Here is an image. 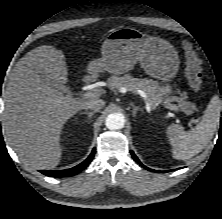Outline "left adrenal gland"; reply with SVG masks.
Segmentation results:
<instances>
[{
    "instance_id": "a2214340",
    "label": "left adrenal gland",
    "mask_w": 222,
    "mask_h": 219,
    "mask_svg": "<svg viewBox=\"0 0 222 219\" xmlns=\"http://www.w3.org/2000/svg\"><path fill=\"white\" fill-rule=\"evenodd\" d=\"M131 105H132V107H133L132 115H133V117H135L136 114H137V112H138V111H142V109H141L140 107L135 106L134 103H131Z\"/></svg>"
}]
</instances>
